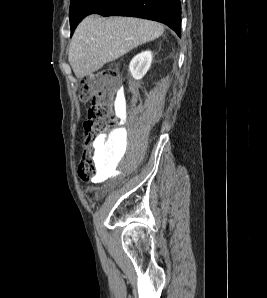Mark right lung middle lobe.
<instances>
[{"label":"right lung middle lobe","instance_id":"obj_1","mask_svg":"<svg viewBox=\"0 0 267 298\" xmlns=\"http://www.w3.org/2000/svg\"><path fill=\"white\" fill-rule=\"evenodd\" d=\"M100 0H71L70 5V26L71 33L74 31L78 23L87 15Z\"/></svg>","mask_w":267,"mask_h":298}]
</instances>
